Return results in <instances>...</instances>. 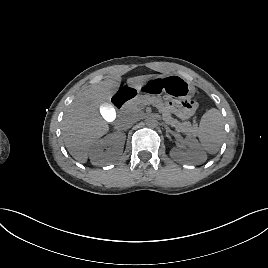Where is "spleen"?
I'll return each mask as SVG.
<instances>
[{"label": "spleen", "instance_id": "3e777b00", "mask_svg": "<svg viewBox=\"0 0 268 268\" xmlns=\"http://www.w3.org/2000/svg\"><path fill=\"white\" fill-rule=\"evenodd\" d=\"M198 138L209 154L218 152L224 138V119L219 110L212 108L202 116Z\"/></svg>", "mask_w": 268, "mask_h": 268}]
</instances>
